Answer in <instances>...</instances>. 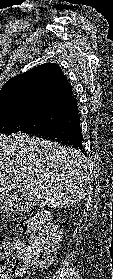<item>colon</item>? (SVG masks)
<instances>
[{
  "label": "colon",
  "instance_id": "1",
  "mask_svg": "<svg viewBox=\"0 0 113 279\" xmlns=\"http://www.w3.org/2000/svg\"><path fill=\"white\" fill-rule=\"evenodd\" d=\"M22 224L28 239L26 244L12 246L0 237V274L8 277L23 276L30 264L50 259L57 250L60 231L51 223L46 212L23 219ZM13 250L16 252L14 255Z\"/></svg>",
  "mask_w": 113,
  "mask_h": 279
}]
</instances>
